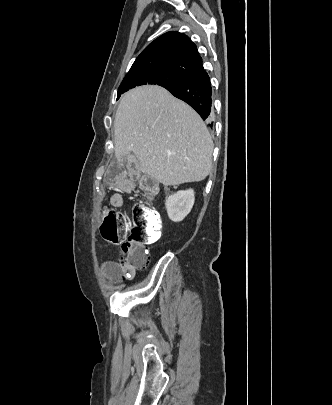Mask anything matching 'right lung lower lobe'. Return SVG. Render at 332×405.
<instances>
[{"label":"right lung lower lobe","instance_id":"1","mask_svg":"<svg viewBox=\"0 0 332 405\" xmlns=\"http://www.w3.org/2000/svg\"><path fill=\"white\" fill-rule=\"evenodd\" d=\"M164 88L175 97L188 103L202 119L205 120L209 116L212 108V90L206 71L202 70Z\"/></svg>","mask_w":332,"mask_h":405}]
</instances>
